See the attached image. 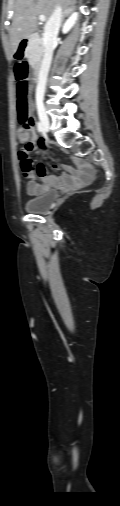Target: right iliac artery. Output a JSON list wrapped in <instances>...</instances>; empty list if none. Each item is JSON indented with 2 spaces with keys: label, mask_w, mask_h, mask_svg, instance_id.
<instances>
[{
  "label": "right iliac artery",
  "mask_w": 120,
  "mask_h": 506,
  "mask_svg": "<svg viewBox=\"0 0 120 506\" xmlns=\"http://www.w3.org/2000/svg\"><path fill=\"white\" fill-rule=\"evenodd\" d=\"M37 130L41 133L43 132V127H42V124L40 122L37 123Z\"/></svg>",
  "instance_id": "obj_1"
}]
</instances>
